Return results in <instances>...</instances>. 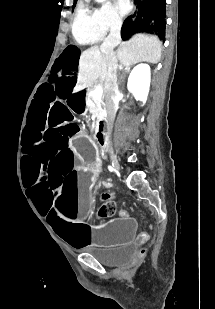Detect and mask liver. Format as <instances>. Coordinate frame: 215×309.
Here are the masks:
<instances>
[{
    "label": "liver",
    "mask_w": 215,
    "mask_h": 309,
    "mask_svg": "<svg viewBox=\"0 0 215 309\" xmlns=\"http://www.w3.org/2000/svg\"><path fill=\"white\" fill-rule=\"evenodd\" d=\"M162 52V42L153 34H134L130 40L120 42L116 56L124 66L136 62H159ZM107 64L105 52L98 46H90L81 52L79 58V72L73 92H79L87 86H92L96 80H105Z\"/></svg>",
    "instance_id": "6515ba94"
}]
</instances>
